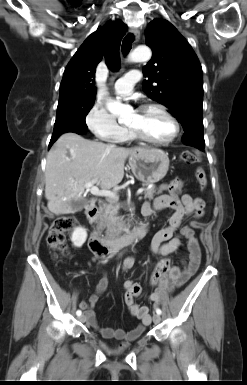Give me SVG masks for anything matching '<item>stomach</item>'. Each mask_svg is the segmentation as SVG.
Returning <instances> with one entry per match:
<instances>
[{"label":"stomach","instance_id":"1","mask_svg":"<svg viewBox=\"0 0 247 385\" xmlns=\"http://www.w3.org/2000/svg\"><path fill=\"white\" fill-rule=\"evenodd\" d=\"M129 166L134 176L143 184H153L167 174L168 154L157 148H136L130 154Z\"/></svg>","mask_w":247,"mask_h":385}]
</instances>
